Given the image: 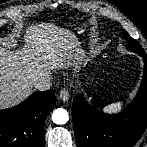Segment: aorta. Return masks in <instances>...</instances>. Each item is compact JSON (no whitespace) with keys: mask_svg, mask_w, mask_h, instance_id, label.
Wrapping results in <instances>:
<instances>
[{"mask_svg":"<svg viewBox=\"0 0 147 147\" xmlns=\"http://www.w3.org/2000/svg\"><path fill=\"white\" fill-rule=\"evenodd\" d=\"M69 119L68 112L63 108H57L52 114V120L55 124L63 125L67 123Z\"/></svg>","mask_w":147,"mask_h":147,"instance_id":"obj_1","label":"aorta"}]
</instances>
